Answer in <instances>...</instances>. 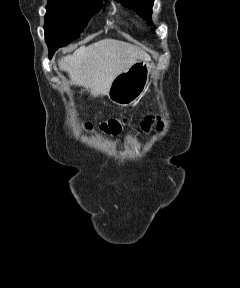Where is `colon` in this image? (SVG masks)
<instances>
[{
	"mask_svg": "<svg viewBox=\"0 0 240 288\" xmlns=\"http://www.w3.org/2000/svg\"><path fill=\"white\" fill-rule=\"evenodd\" d=\"M124 123H125L124 120L110 119L108 121L102 122L99 128L105 134L116 135L121 131ZM85 128L87 130H91L93 128V125L91 123H87L85 125Z\"/></svg>",
	"mask_w": 240,
	"mask_h": 288,
	"instance_id": "1",
	"label": "colon"
}]
</instances>
